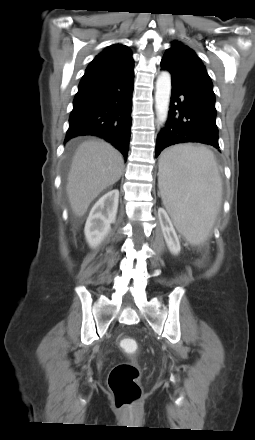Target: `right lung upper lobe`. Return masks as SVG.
<instances>
[{"label":"right lung upper lobe","mask_w":255,"mask_h":440,"mask_svg":"<svg viewBox=\"0 0 255 440\" xmlns=\"http://www.w3.org/2000/svg\"><path fill=\"white\" fill-rule=\"evenodd\" d=\"M134 66L130 49L113 44L98 54L87 67L79 87L95 84Z\"/></svg>","instance_id":"right-lung-upper-lobe-1"}]
</instances>
